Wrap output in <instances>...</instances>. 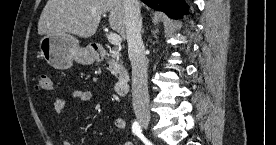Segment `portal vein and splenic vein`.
Returning <instances> with one entry per match:
<instances>
[{"label":"portal vein and splenic vein","mask_w":276,"mask_h":145,"mask_svg":"<svg viewBox=\"0 0 276 145\" xmlns=\"http://www.w3.org/2000/svg\"><path fill=\"white\" fill-rule=\"evenodd\" d=\"M108 41L113 44V45H120L122 39L120 37V35L115 34V33H111L107 36Z\"/></svg>","instance_id":"18ae733b"}]
</instances>
